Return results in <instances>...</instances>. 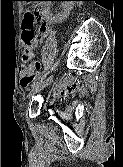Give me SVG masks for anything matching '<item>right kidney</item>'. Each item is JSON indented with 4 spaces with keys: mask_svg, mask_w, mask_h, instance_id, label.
Wrapping results in <instances>:
<instances>
[{
    "mask_svg": "<svg viewBox=\"0 0 123 167\" xmlns=\"http://www.w3.org/2000/svg\"><path fill=\"white\" fill-rule=\"evenodd\" d=\"M49 3L51 4V2ZM61 5L63 6V12L52 17V19L56 22H62L68 17L71 9L73 8L74 2H61ZM49 8L50 7H48L47 13L52 16V14L49 11Z\"/></svg>",
    "mask_w": 123,
    "mask_h": 167,
    "instance_id": "obj_1",
    "label": "right kidney"
}]
</instances>
